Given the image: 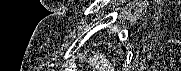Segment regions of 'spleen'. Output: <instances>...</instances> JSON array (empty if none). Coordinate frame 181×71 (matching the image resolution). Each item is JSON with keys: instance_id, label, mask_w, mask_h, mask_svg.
<instances>
[{"instance_id": "1", "label": "spleen", "mask_w": 181, "mask_h": 71, "mask_svg": "<svg viewBox=\"0 0 181 71\" xmlns=\"http://www.w3.org/2000/svg\"><path fill=\"white\" fill-rule=\"evenodd\" d=\"M90 65L93 66V68L97 71H109L111 68L109 62L102 56L100 57L99 61H96V59L90 61Z\"/></svg>"}]
</instances>
